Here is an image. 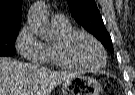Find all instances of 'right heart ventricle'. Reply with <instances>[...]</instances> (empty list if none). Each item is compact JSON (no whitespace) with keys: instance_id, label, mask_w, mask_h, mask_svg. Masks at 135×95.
<instances>
[{"instance_id":"right-heart-ventricle-1","label":"right heart ventricle","mask_w":135,"mask_h":95,"mask_svg":"<svg viewBox=\"0 0 135 95\" xmlns=\"http://www.w3.org/2000/svg\"><path fill=\"white\" fill-rule=\"evenodd\" d=\"M52 28L54 29V31L57 34V40L66 35L67 33L71 32L72 26L66 21L65 23H61V24H56L52 22ZM54 44L53 43H48L45 45L46 48V54H47V59L53 64V65H60L59 62L57 61L55 54H54Z\"/></svg>"}]
</instances>
